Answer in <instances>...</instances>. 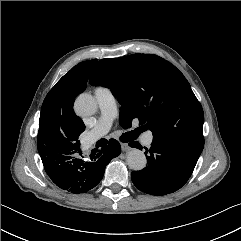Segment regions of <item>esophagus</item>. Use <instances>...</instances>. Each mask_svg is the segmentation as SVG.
Returning <instances> with one entry per match:
<instances>
[{
    "mask_svg": "<svg viewBox=\"0 0 241 241\" xmlns=\"http://www.w3.org/2000/svg\"><path fill=\"white\" fill-rule=\"evenodd\" d=\"M120 145L123 151L129 150V146L127 143L120 142Z\"/></svg>",
    "mask_w": 241,
    "mask_h": 241,
    "instance_id": "1",
    "label": "esophagus"
}]
</instances>
